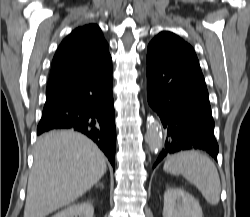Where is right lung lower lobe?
<instances>
[{
	"label": "right lung lower lobe",
	"mask_w": 250,
	"mask_h": 217,
	"mask_svg": "<svg viewBox=\"0 0 250 217\" xmlns=\"http://www.w3.org/2000/svg\"><path fill=\"white\" fill-rule=\"evenodd\" d=\"M54 129H72L87 135L115 167L112 61L84 79L46 92L37 134Z\"/></svg>",
	"instance_id": "98d812e1"
}]
</instances>
